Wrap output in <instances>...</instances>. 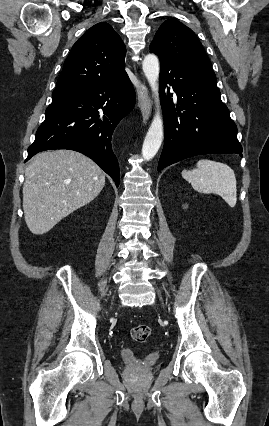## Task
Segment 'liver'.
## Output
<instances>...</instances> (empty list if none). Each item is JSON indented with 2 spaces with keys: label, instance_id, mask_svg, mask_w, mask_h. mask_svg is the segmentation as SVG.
<instances>
[{
  "label": "liver",
  "instance_id": "obj_1",
  "mask_svg": "<svg viewBox=\"0 0 269 426\" xmlns=\"http://www.w3.org/2000/svg\"><path fill=\"white\" fill-rule=\"evenodd\" d=\"M105 173L90 158L71 150L35 155L25 171L23 210L35 235L50 231L63 218L94 200Z\"/></svg>",
  "mask_w": 269,
  "mask_h": 426
}]
</instances>
